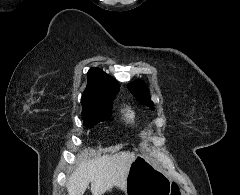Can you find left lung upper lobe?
Returning <instances> with one entry per match:
<instances>
[{
    "label": "left lung upper lobe",
    "mask_w": 240,
    "mask_h": 195,
    "mask_svg": "<svg viewBox=\"0 0 240 195\" xmlns=\"http://www.w3.org/2000/svg\"><path fill=\"white\" fill-rule=\"evenodd\" d=\"M128 88L131 93L142 103L149 105L151 109H154V104L150 100L149 90L146 84L141 81L137 80L132 83L128 84Z\"/></svg>",
    "instance_id": "5c2ea615"
}]
</instances>
